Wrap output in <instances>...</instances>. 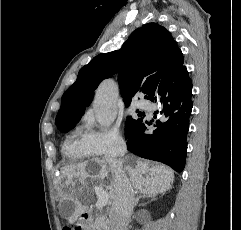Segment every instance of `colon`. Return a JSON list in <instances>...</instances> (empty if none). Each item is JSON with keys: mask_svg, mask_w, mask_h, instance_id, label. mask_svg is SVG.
Listing matches in <instances>:
<instances>
[{"mask_svg": "<svg viewBox=\"0 0 241 230\" xmlns=\"http://www.w3.org/2000/svg\"><path fill=\"white\" fill-rule=\"evenodd\" d=\"M63 230H72V229L69 227H65Z\"/></svg>", "mask_w": 241, "mask_h": 230, "instance_id": "colon-1", "label": "colon"}]
</instances>
